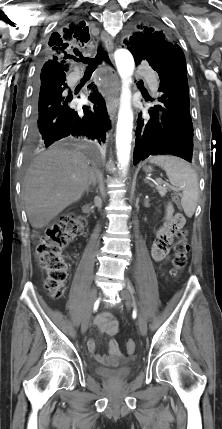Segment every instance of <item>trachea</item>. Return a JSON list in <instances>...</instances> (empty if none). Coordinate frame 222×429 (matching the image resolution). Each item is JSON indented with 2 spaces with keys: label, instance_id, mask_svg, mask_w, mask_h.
<instances>
[{
  "label": "trachea",
  "instance_id": "trachea-1",
  "mask_svg": "<svg viewBox=\"0 0 222 429\" xmlns=\"http://www.w3.org/2000/svg\"><path fill=\"white\" fill-rule=\"evenodd\" d=\"M103 59H104L105 61H107L108 63H110V60H109V58H108L107 54L104 52L103 48H102V47H99V49H98V53H97V55L95 56V58H85V57H80V59H76V61H78V62H83V63H85V64H88V67H87V69H86V72H88V73H92V72L96 69L97 65H98L99 63H101V61H102Z\"/></svg>",
  "mask_w": 222,
  "mask_h": 429
}]
</instances>
